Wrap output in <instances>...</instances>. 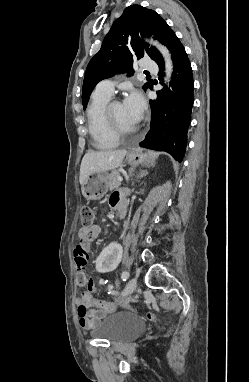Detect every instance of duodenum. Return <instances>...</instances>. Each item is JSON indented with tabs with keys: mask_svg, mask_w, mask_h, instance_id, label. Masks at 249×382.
Segmentation results:
<instances>
[{
	"mask_svg": "<svg viewBox=\"0 0 249 382\" xmlns=\"http://www.w3.org/2000/svg\"><path fill=\"white\" fill-rule=\"evenodd\" d=\"M116 210L118 213V218H123L126 213V202L124 200L120 201L119 204L116 206Z\"/></svg>",
	"mask_w": 249,
	"mask_h": 382,
	"instance_id": "1",
	"label": "duodenum"
}]
</instances>
